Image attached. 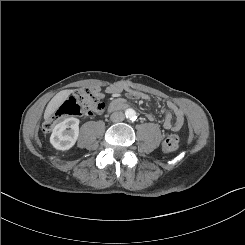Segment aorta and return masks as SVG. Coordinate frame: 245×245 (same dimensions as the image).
<instances>
[{"mask_svg":"<svg viewBox=\"0 0 245 245\" xmlns=\"http://www.w3.org/2000/svg\"><path fill=\"white\" fill-rule=\"evenodd\" d=\"M135 115H136V113H135V111H134L133 109H128V110H126V116H127L128 118H134Z\"/></svg>","mask_w":245,"mask_h":245,"instance_id":"1","label":"aorta"}]
</instances>
